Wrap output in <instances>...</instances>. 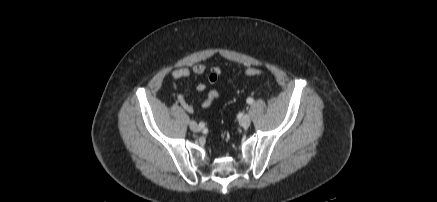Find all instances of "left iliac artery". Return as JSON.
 <instances>
[{
	"instance_id": "left-iliac-artery-1",
	"label": "left iliac artery",
	"mask_w": 437,
	"mask_h": 202,
	"mask_svg": "<svg viewBox=\"0 0 437 202\" xmlns=\"http://www.w3.org/2000/svg\"><path fill=\"white\" fill-rule=\"evenodd\" d=\"M247 103L248 104H252L253 103V99L251 97L247 98Z\"/></svg>"
}]
</instances>
